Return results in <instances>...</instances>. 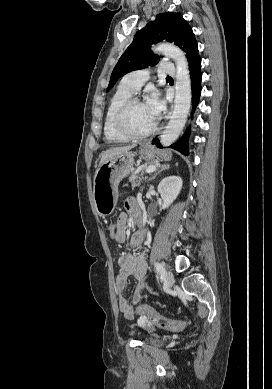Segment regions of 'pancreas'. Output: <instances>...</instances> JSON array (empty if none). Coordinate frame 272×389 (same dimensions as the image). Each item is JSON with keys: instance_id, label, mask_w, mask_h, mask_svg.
I'll use <instances>...</instances> for the list:
<instances>
[{"instance_id": "cf45deb5", "label": "pancreas", "mask_w": 272, "mask_h": 389, "mask_svg": "<svg viewBox=\"0 0 272 389\" xmlns=\"http://www.w3.org/2000/svg\"><path fill=\"white\" fill-rule=\"evenodd\" d=\"M147 168H148L147 166H142L138 170H136L133 174H131V176L129 177V182H130L132 188L140 185L141 181L143 180L142 175L138 176V172L139 171L143 172Z\"/></svg>"}]
</instances>
